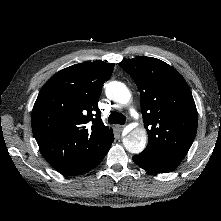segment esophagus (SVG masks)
I'll list each match as a JSON object with an SVG mask.
<instances>
[{"instance_id":"1","label":"esophagus","mask_w":221,"mask_h":221,"mask_svg":"<svg viewBox=\"0 0 221 221\" xmlns=\"http://www.w3.org/2000/svg\"><path fill=\"white\" fill-rule=\"evenodd\" d=\"M117 129L121 132V131H123L124 126L123 125H117Z\"/></svg>"}]
</instances>
